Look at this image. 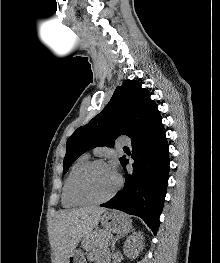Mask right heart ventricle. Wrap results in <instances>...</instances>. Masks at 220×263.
<instances>
[{"instance_id": "right-heart-ventricle-1", "label": "right heart ventricle", "mask_w": 220, "mask_h": 263, "mask_svg": "<svg viewBox=\"0 0 220 263\" xmlns=\"http://www.w3.org/2000/svg\"><path fill=\"white\" fill-rule=\"evenodd\" d=\"M88 155H82L81 157H79L71 166L69 173L64 181V185H63V189H62V204L64 207H74L79 205L78 203H75L71 198H70V194H69V185H70V181L72 176L74 175V173L82 166L84 165L86 162H88Z\"/></svg>"}]
</instances>
